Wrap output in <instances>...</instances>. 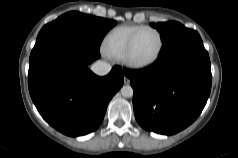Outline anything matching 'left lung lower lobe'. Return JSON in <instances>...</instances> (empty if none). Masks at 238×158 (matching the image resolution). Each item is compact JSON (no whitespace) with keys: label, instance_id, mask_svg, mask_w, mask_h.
<instances>
[{"label":"left lung lower lobe","instance_id":"1","mask_svg":"<svg viewBox=\"0 0 238 158\" xmlns=\"http://www.w3.org/2000/svg\"><path fill=\"white\" fill-rule=\"evenodd\" d=\"M134 89L133 107L144 129L172 135L202 112L211 90L210 59L200 36L159 54L151 66L126 70Z\"/></svg>","mask_w":238,"mask_h":158}]
</instances>
